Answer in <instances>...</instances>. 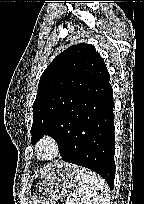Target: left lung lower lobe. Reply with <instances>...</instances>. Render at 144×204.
<instances>
[{
    "label": "left lung lower lobe",
    "mask_w": 144,
    "mask_h": 204,
    "mask_svg": "<svg viewBox=\"0 0 144 204\" xmlns=\"http://www.w3.org/2000/svg\"><path fill=\"white\" fill-rule=\"evenodd\" d=\"M105 68L86 88V103L59 144L62 159L100 174L113 189L115 136L113 90Z\"/></svg>",
    "instance_id": "left-lung-lower-lobe-1"
}]
</instances>
